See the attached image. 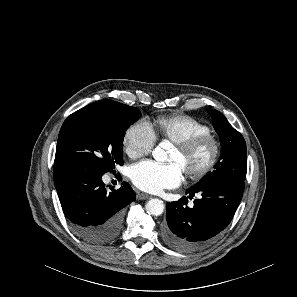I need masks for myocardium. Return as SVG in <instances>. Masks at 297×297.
Instances as JSON below:
<instances>
[{
  "label": "myocardium",
  "instance_id": "f54148a6",
  "mask_svg": "<svg viewBox=\"0 0 297 297\" xmlns=\"http://www.w3.org/2000/svg\"><path fill=\"white\" fill-rule=\"evenodd\" d=\"M205 144H210L212 153L207 163L198 170H185L187 177L192 181H199L207 177L217 166L222 152L218 137L212 133H205L175 143V147L184 156H188Z\"/></svg>",
  "mask_w": 297,
  "mask_h": 297
}]
</instances>
